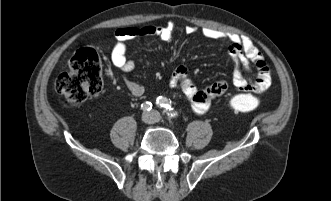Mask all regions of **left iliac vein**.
<instances>
[{
    "label": "left iliac vein",
    "mask_w": 331,
    "mask_h": 201,
    "mask_svg": "<svg viewBox=\"0 0 331 201\" xmlns=\"http://www.w3.org/2000/svg\"><path fill=\"white\" fill-rule=\"evenodd\" d=\"M151 114L154 117L155 122H158L160 120L161 116L157 111H152Z\"/></svg>",
    "instance_id": "left-iliac-vein-1"
}]
</instances>
